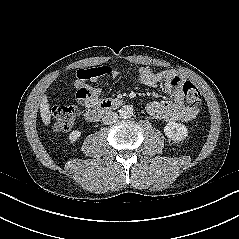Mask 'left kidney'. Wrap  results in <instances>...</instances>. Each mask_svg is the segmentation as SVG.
Here are the masks:
<instances>
[{
    "instance_id": "left-kidney-1",
    "label": "left kidney",
    "mask_w": 239,
    "mask_h": 239,
    "mask_svg": "<svg viewBox=\"0 0 239 239\" xmlns=\"http://www.w3.org/2000/svg\"><path fill=\"white\" fill-rule=\"evenodd\" d=\"M165 135L176 142L184 140L188 136L187 127L181 123L169 122L164 127Z\"/></svg>"
}]
</instances>
